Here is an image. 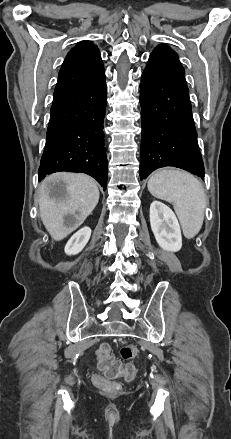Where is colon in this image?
Returning a JSON list of instances; mask_svg holds the SVG:
<instances>
[{"label": "colon", "instance_id": "5ec220e1", "mask_svg": "<svg viewBox=\"0 0 231 439\" xmlns=\"http://www.w3.org/2000/svg\"><path fill=\"white\" fill-rule=\"evenodd\" d=\"M138 349L134 345H127L121 348L120 355L124 360H130L137 356ZM98 368L102 373H95L92 376L93 382L100 388L114 390L118 388L115 382L120 376L132 380L135 376V368L131 365L123 366L110 352L107 345H102L98 351Z\"/></svg>", "mask_w": 231, "mask_h": 439}]
</instances>
